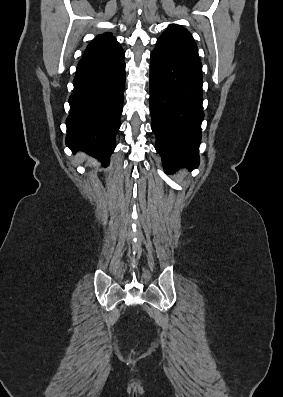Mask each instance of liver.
Wrapping results in <instances>:
<instances>
[{"label": "liver", "mask_w": 283, "mask_h": 397, "mask_svg": "<svg viewBox=\"0 0 283 397\" xmlns=\"http://www.w3.org/2000/svg\"><path fill=\"white\" fill-rule=\"evenodd\" d=\"M84 158H85V155L82 153H79L76 155L75 160L77 163H81L84 160Z\"/></svg>", "instance_id": "liver-1"}]
</instances>
